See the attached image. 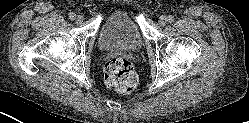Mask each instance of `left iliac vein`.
<instances>
[{"label":"left iliac vein","instance_id":"4c4485c4","mask_svg":"<svg viewBox=\"0 0 249 123\" xmlns=\"http://www.w3.org/2000/svg\"><path fill=\"white\" fill-rule=\"evenodd\" d=\"M167 23V17L162 15L160 18H159V25L160 26H165Z\"/></svg>","mask_w":249,"mask_h":123}]
</instances>
